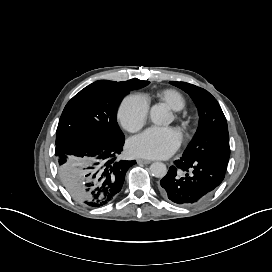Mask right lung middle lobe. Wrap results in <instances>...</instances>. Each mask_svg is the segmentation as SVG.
<instances>
[{"mask_svg": "<svg viewBox=\"0 0 272 272\" xmlns=\"http://www.w3.org/2000/svg\"><path fill=\"white\" fill-rule=\"evenodd\" d=\"M148 81L98 80L76 94L65 106L56 132V146L75 137H92L107 143L124 140L116 119L122 98Z\"/></svg>", "mask_w": 272, "mask_h": 272, "instance_id": "right-lung-middle-lobe-1", "label": "right lung middle lobe"}]
</instances>
